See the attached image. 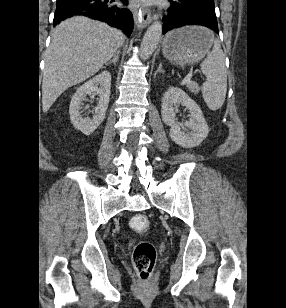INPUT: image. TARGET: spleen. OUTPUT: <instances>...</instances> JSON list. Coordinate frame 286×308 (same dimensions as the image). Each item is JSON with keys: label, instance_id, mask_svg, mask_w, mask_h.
<instances>
[{"label": "spleen", "instance_id": "obj_1", "mask_svg": "<svg viewBox=\"0 0 286 308\" xmlns=\"http://www.w3.org/2000/svg\"><path fill=\"white\" fill-rule=\"evenodd\" d=\"M201 70L206 76L201 88L202 97L208 108L216 111L223 106L227 91L225 56L218 39L214 40L212 51L201 63Z\"/></svg>", "mask_w": 286, "mask_h": 308}]
</instances>
